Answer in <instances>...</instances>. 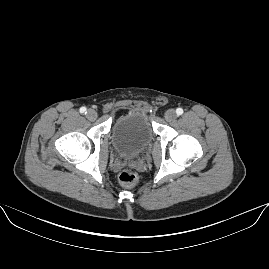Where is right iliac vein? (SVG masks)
<instances>
[{
    "mask_svg": "<svg viewBox=\"0 0 269 269\" xmlns=\"http://www.w3.org/2000/svg\"><path fill=\"white\" fill-rule=\"evenodd\" d=\"M86 117L89 120L93 121V120H95L97 118V112L95 110H93V109H89L86 112Z\"/></svg>",
    "mask_w": 269,
    "mask_h": 269,
    "instance_id": "1",
    "label": "right iliac vein"
}]
</instances>
